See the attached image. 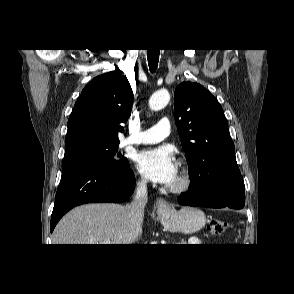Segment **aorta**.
<instances>
[{
    "mask_svg": "<svg viewBox=\"0 0 294 294\" xmlns=\"http://www.w3.org/2000/svg\"><path fill=\"white\" fill-rule=\"evenodd\" d=\"M170 101V94L167 90L155 92L149 99V107L151 110L158 111L163 109Z\"/></svg>",
    "mask_w": 294,
    "mask_h": 294,
    "instance_id": "762f6f07",
    "label": "aorta"
}]
</instances>
